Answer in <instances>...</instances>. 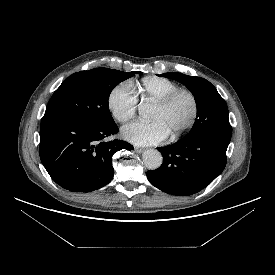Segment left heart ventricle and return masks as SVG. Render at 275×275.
Wrapping results in <instances>:
<instances>
[{
    "instance_id": "left-heart-ventricle-1",
    "label": "left heart ventricle",
    "mask_w": 275,
    "mask_h": 275,
    "mask_svg": "<svg viewBox=\"0 0 275 275\" xmlns=\"http://www.w3.org/2000/svg\"><path fill=\"white\" fill-rule=\"evenodd\" d=\"M191 112V101L187 95L182 94L166 109L155 106L152 120L162 122L168 132L172 134L185 125L190 118Z\"/></svg>"
}]
</instances>
